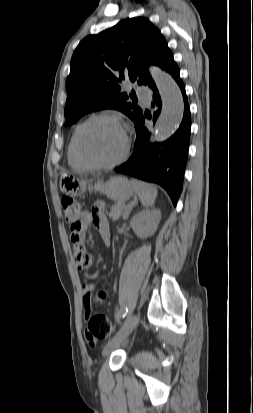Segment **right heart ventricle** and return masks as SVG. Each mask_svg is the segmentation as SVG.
<instances>
[{
    "instance_id": "obj_1",
    "label": "right heart ventricle",
    "mask_w": 253,
    "mask_h": 413,
    "mask_svg": "<svg viewBox=\"0 0 253 413\" xmlns=\"http://www.w3.org/2000/svg\"><path fill=\"white\" fill-rule=\"evenodd\" d=\"M77 130V129H76ZM76 130L74 131V133L72 134L69 143H68V147H67V160H68V164L75 168V169H86L87 166L81 162V160L78 158L76 151H75V144H74V140H75V133Z\"/></svg>"
}]
</instances>
